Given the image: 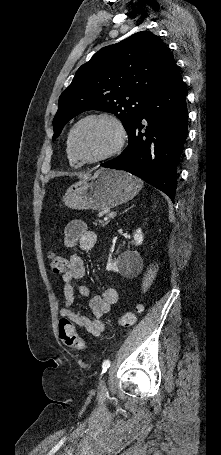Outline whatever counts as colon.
I'll return each mask as SVG.
<instances>
[{
	"instance_id": "1",
	"label": "colon",
	"mask_w": 221,
	"mask_h": 455,
	"mask_svg": "<svg viewBox=\"0 0 221 455\" xmlns=\"http://www.w3.org/2000/svg\"><path fill=\"white\" fill-rule=\"evenodd\" d=\"M49 265L52 271L56 274H64L69 269V262L59 254H49ZM141 307L137 306L134 311H129L121 315L119 324L123 327L132 326L137 319V313L140 312ZM59 337L62 342L74 349L84 350L86 344L84 340L76 332L72 322L68 318H61L59 321Z\"/></svg>"
}]
</instances>
